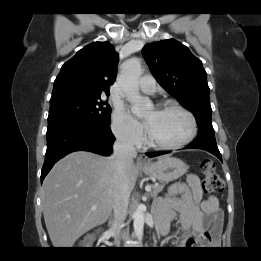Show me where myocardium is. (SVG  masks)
<instances>
[{
	"mask_svg": "<svg viewBox=\"0 0 261 261\" xmlns=\"http://www.w3.org/2000/svg\"><path fill=\"white\" fill-rule=\"evenodd\" d=\"M160 110H177L183 113L189 121V131L183 139L174 143L157 142L153 140L149 132H147V144L152 148L162 149V150L179 149L189 144L194 139L197 133V122L192 112L176 102H165L160 105Z\"/></svg>",
	"mask_w": 261,
	"mask_h": 261,
	"instance_id": "f54148a6",
	"label": "myocardium"
}]
</instances>
